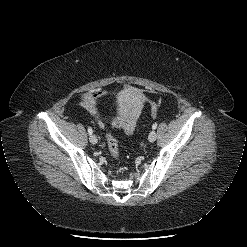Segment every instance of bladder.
I'll list each match as a JSON object with an SVG mask.
<instances>
[{
	"label": "bladder",
	"mask_w": 247,
	"mask_h": 247,
	"mask_svg": "<svg viewBox=\"0 0 247 247\" xmlns=\"http://www.w3.org/2000/svg\"><path fill=\"white\" fill-rule=\"evenodd\" d=\"M112 126L119 130H127L132 122L133 118L131 115H126L121 112H116L111 118Z\"/></svg>",
	"instance_id": "bladder-1"
}]
</instances>
